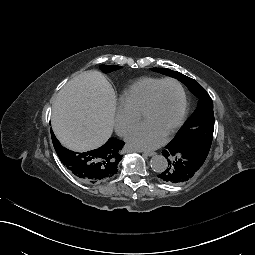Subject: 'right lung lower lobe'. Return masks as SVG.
Wrapping results in <instances>:
<instances>
[{
	"label": "right lung lower lobe",
	"mask_w": 255,
	"mask_h": 255,
	"mask_svg": "<svg viewBox=\"0 0 255 255\" xmlns=\"http://www.w3.org/2000/svg\"><path fill=\"white\" fill-rule=\"evenodd\" d=\"M83 176L87 179L100 176L99 161L90 154L83 157Z\"/></svg>",
	"instance_id": "98d812e1"
}]
</instances>
